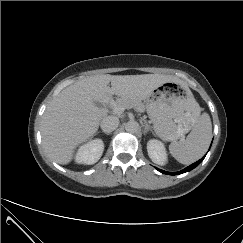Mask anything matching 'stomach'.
<instances>
[{
    "label": "stomach",
    "instance_id": "0dacf381",
    "mask_svg": "<svg viewBox=\"0 0 243 243\" xmlns=\"http://www.w3.org/2000/svg\"><path fill=\"white\" fill-rule=\"evenodd\" d=\"M156 135L165 141L182 138L196 123L197 102L188 87L164 83L146 103Z\"/></svg>",
    "mask_w": 243,
    "mask_h": 243
}]
</instances>
